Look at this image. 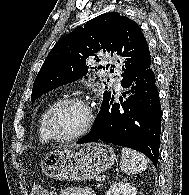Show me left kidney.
Returning <instances> with one entry per match:
<instances>
[{"label":"left kidney","mask_w":189,"mask_h":195,"mask_svg":"<svg viewBox=\"0 0 189 195\" xmlns=\"http://www.w3.org/2000/svg\"><path fill=\"white\" fill-rule=\"evenodd\" d=\"M136 188L131 186L129 183L119 182L113 185L106 195H136Z\"/></svg>","instance_id":"obj_1"}]
</instances>
